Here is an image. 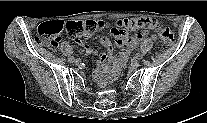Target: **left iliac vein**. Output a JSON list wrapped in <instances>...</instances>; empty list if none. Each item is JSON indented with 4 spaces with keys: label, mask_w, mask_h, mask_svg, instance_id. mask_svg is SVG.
<instances>
[{
    "label": "left iliac vein",
    "mask_w": 207,
    "mask_h": 123,
    "mask_svg": "<svg viewBox=\"0 0 207 123\" xmlns=\"http://www.w3.org/2000/svg\"><path fill=\"white\" fill-rule=\"evenodd\" d=\"M131 67H132L133 69L138 68V67H139V61H137V60H133V61L131 62Z\"/></svg>",
    "instance_id": "obj_1"
}]
</instances>
